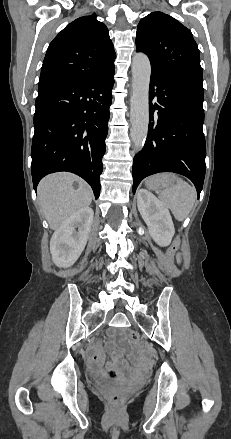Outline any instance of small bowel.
Instances as JSON below:
<instances>
[{
  "label": "small bowel",
  "instance_id": "1",
  "mask_svg": "<svg viewBox=\"0 0 231 439\" xmlns=\"http://www.w3.org/2000/svg\"><path fill=\"white\" fill-rule=\"evenodd\" d=\"M120 355L118 353H116L114 355V360H113V366L107 370H104L103 364H104V353L102 349H98L93 355H92V359L97 363L98 366V373L99 375H105V374H109V375H115L117 373V370L115 368V366L118 364V360H119ZM139 370L143 373H146L149 371V366L146 363H142L139 365Z\"/></svg>",
  "mask_w": 231,
  "mask_h": 439
}]
</instances>
